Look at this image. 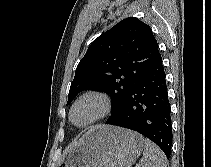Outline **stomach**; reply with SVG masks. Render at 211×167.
Wrapping results in <instances>:
<instances>
[{
  "instance_id": "stomach-1",
  "label": "stomach",
  "mask_w": 211,
  "mask_h": 167,
  "mask_svg": "<svg viewBox=\"0 0 211 167\" xmlns=\"http://www.w3.org/2000/svg\"><path fill=\"white\" fill-rule=\"evenodd\" d=\"M144 139L115 126H95L68 150L58 167H130L141 155Z\"/></svg>"
}]
</instances>
